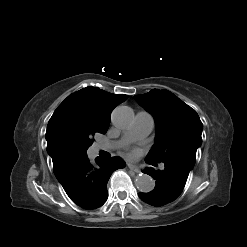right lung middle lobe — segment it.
Returning <instances> with one entry per match:
<instances>
[{"label": "right lung middle lobe", "mask_w": 247, "mask_h": 247, "mask_svg": "<svg viewBox=\"0 0 247 247\" xmlns=\"http://www.w3.org/2000/svg\"><path fill=\"white\" fill-rule=\"evenodd\" d=\"M92 137H93V136H86V137L83 139V141H82V153H83V155H85V156H86V151H87L88 147L92 145V142H93V141H92Z\"/></svg>", "instance_id": "right-lung-middle-lobe-1"}]
</instances>
